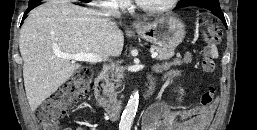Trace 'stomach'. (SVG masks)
<instances>
[{
	"label": "stomach",
	"mask_w": 257,
	"mask_h": 130,
	"mask_svg": "<svg viewBox=\"0 0 257 130\" xmlns=\"http://www.w3.org/2000/svg\"><path fill=\"white\" fill-rule=\"evenodd\" d=\"M144 40L164 48L177 47L185 37L184 23L174 15H167L136 27Z\"/></svg>",
	"instance_id": "1"
}]
</instances>
